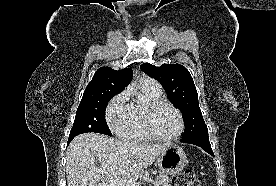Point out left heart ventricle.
I'll return each mask as SVG.
<instances>
[{"mask_svg": "<svg viewBox=\"0 0 276 186\" xmlns=\"http://www.w3.org/2000/svg\"><path fill=\"white\" fill-rule=\"evenodd\" d=\"M153 126L160 136L170 137L178 132L180 121L173 109L168 106H162L154 114Z\"/></svg>", "mask_w": 276, "mask_h": 186, "instance_id": "1", "label": "left heart ventricle"}]
</instances>
